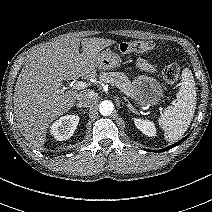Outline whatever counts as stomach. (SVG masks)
I'll return each instance as SVG.
<instances>
[{
  "label": "stomach",
  "instance_id": "obj_1",
  "mask_svg": "<svg viewBox=\"0 0 212 212\" xmlns=\"http://www.w3.org/2000/svg\"><path fill=\"white\" fill-rule=\"evenodd\" d=\"M122 59L109 49L102 51L96 60V67L100 70H110L121 65ZM129 96L135 100L139 107L146 105H157L164 98V91L160 83L148 75H139L132 82V91Z\"/></svg>",
  "mask_w": 212,
  "mask_h": 212
}]
</instances>
